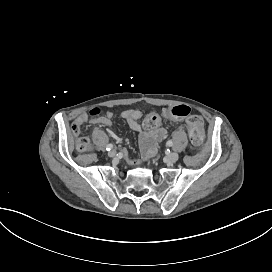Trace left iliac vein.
<instances>
[{"mask_svg":"<svg viewBox=\"0 0 272 272\" xmlns=\"http://www.w3.org/2000/svg\"><path fill=\"white\" fill-rule=\"evenodd\" d=\"M179 158V154L177 152H172V153H169L167 156H166V160L168 163H173V162H176Z\"/></svg>","mask_w":272,"mask_h":272,"instance_id":"left-iliac-vein-1","label":"left iliac vein"}]
</instances>
